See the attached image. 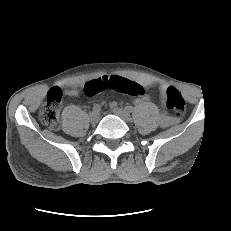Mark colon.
<instances>
[{"mask_svg":"<svg viewBox=\"0 0 231 231\" xmlns=\"http://www.w3.org/2000/svg\"><path fill=\"white\" fill-rule=\"evenodd\" d=\"M106 90H112L131 96L139 95L143 90L137 83L130 82L120 77L102 78L88 82L84 91L88 95H96ZM62 92L59 88L51 89L43 103L39 117L41 122L52 130L59 128L60 101ZM164 109L180 117L185 112V101L181 94L174 88H169L165 94Z\"/></svg>","mask_w":231,"mask_h":231,"instance_id":"5ec220e1","label":"colon"}]
</instances>
